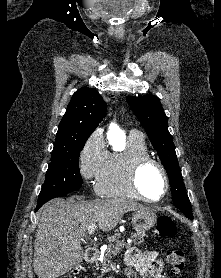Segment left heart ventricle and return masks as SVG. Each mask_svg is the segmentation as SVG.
<instances>
[{
    "instance_id": "b2bd125f",
    "label": "left heart ventricle",
    "mask_w": 221,
    "mask_h": 278,
    "mask_svg": "<svg viewBox=\"0 0 221 278\" xmlns=\"http://www.w3.org/2000/svg\"><path fill=\"white\" fill-rule=\"evenodd\" d=\"M140 185L146 196L159 198L164 191V180L160 171L152 165L147 166L140 175Z\"/></svg>"
}]
</instances>
